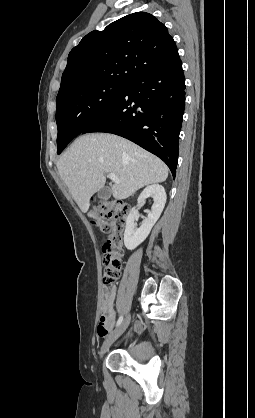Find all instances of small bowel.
I'll return each instance as SVG.
<instances>
[{
  "label": "small bowel",
  "instance_id": "small-bowel-1",
  "mask_svg": "<svg viewBox=\"0 0 255 418\" xmlns=\"http://www.w3.org/2000/svg\"><path fill=\"white\" fill-rule=\"evenodd\" d=\"M115 296V288H104V301L102 304L101 314H104L106 316V324L105 329L103 330L97 328V334L101 338L105 337L108 334V332L113 328L116 317V311L114 309Z\"/></svg>",
  "mask_w": 255,
  "mask_h": 418
}]
</instances>
